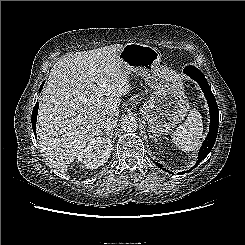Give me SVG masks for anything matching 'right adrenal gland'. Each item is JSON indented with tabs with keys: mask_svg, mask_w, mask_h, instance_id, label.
Instances as JSON below:
<instances>
[{
	"mask_svg": "<svg viewBox=\"0 0 245 245\" xmlns=\"http://www.w3.org/2000/svg\"><path fill=\"white\" fill-rule=\"evenodd\" d=\"M102 135H108V136H110V137H112L113 136V130H111V131H106V132H102L101 133Z\"/></svg>",
	"mask_w": 245,
	"mask_h": 245,
	"instance_id": "2a0ac1e0",
	"label": "right adrenal gland"
}]
</instances>
